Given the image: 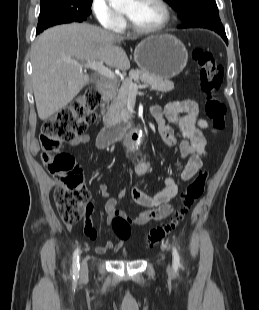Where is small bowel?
Masks as SVG:
<instances>
[{"label": "small bowel", "mask_w": 259, "mask_h": 310, "mask_svg": "<svg viewBox=\"0 0 259 310\" xmlns=\"http://www.w3.org/2000/svg\"><path fill=\"white\" fill-rule=\"evenodd\" d=\"M150 113L156 120L160 135L169 149H173L177 145L174 136V129L168 125L166 119L174 126V128L182 136L179 143L181 160L187 159V162L181 172V179L189 181L203 166V156L206 154V138L202 132L208 128L206 120L199 117L198 104L190 99L171 101L164 106L151 105ZM89 135L83 134L72 141L71 146H80L89 142ZM32 150L37 152L39 145L32 143ZM152 169L149 161H141L135 166V175L142 177ZM164 188L153 196H150L134 186L131 188V197L138 205L145 208L144 211L138 213L135 217H129L119 208V199L110 197V189L107 183H100L99 189L103 197L108 198L105 204V211L108 215L107 221L112 220L116 215L123 216L129 223L143 225L150 221H157L166 218L173 210L171 200L178 193V186L175 178L167 177L165 179ZM92 209L88 210L84 221V234L90 239H96L97 231L93 227ZM71 228V226H69ZM123 247V241L119 240L114 243L108 241L103 245L96 246V252L100 255L109 251H120Z\"/></svg>", "instance_id": "1"}]
</instances>
